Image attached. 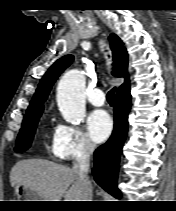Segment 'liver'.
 Wrapping results in <instances>:
<instances>
[{
    "mask_svg": "<svg viewBox=\"0 0 176 211\" xmlns=\"http://www.w3.org/2000/svg\"><path fill=\"white\" fill-rule=\"evenodd\" d=\"M10 183L12 187L24 184L45 201H84L88 195L73 169L42 159L18 161L11 169Z\"/></svg>",
    "mask_w": 176,
    "mask_h": 211,
    "instance_id": "6515ba94",
    "label": "liver"
}]
</instances>
